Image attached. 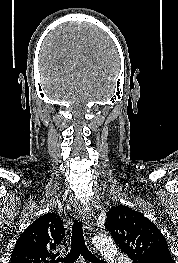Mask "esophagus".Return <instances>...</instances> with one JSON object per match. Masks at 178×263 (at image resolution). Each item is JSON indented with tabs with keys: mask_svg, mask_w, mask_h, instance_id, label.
Here are the masks:
<instances>
[{
	"mask_svg": "<svg viewBox=\"0 0 178 263\" xmlns=\"http://www.w3.org/2000/svg\"><path fill=\"white\" fill-rule=\"evenodd\" d=\"M79 218H80V221H82L84 223L85 228H88L92 224L93 212H91L90 209L87 210L85 208H82L80 211ZM89 247H90L91 251H93L95 253L97 252L91 243H89Z\"/></svg>",
	"mask_w": 178,
	"mask_h": 263,
	"instance_id": "34e87169",
	"label": "esophagus"
}]
</instances>
